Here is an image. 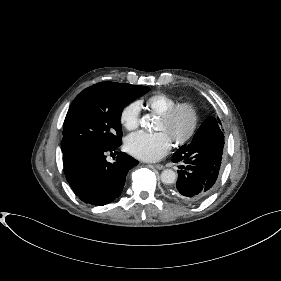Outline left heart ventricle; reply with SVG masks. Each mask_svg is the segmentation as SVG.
I'll list each match as a JSON object with an SVG mask.
<instances>
[{
  "mask_svg": "<svg viewBox=\"0 0 281 281\" xmlns=\"http://www.w3.org/2000/svg\"><path fill=\"white\" fill-rule=\"evenodd\" d=\"M190 116L186 112L178 113L170 122L158 120L157 130L166 133L171 142L182 136L189 128Z\"/></svg>",
  "mask_w": 281,
  "mask_h": 281,
  "instance_id": "left-heart-ventricle-1",
  "label": "left heart ventricle"
}]
</instances>
